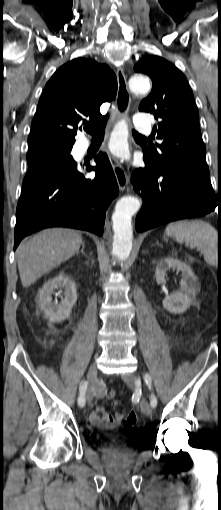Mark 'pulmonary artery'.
I'll use <instances>...</instances> for the list:
<instances>
[{
  "mask_svg": "<svg viewBox=\"0 0 221 510\" xmlns=\"http://www.w3.org/2000/svg\"><path fill=\"white\" fill-rule=\"evenodd\" d=\"M133 126L137 131L148 134L152 128V123L146 114L138 113L133 119Z\"/></svg>",
  "mask_w": 221,
  "mask_h": 510,
  "instance_id": "1",
  "label": "pulmonary artery"
}]
</instances>
